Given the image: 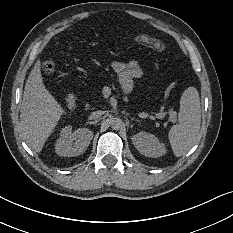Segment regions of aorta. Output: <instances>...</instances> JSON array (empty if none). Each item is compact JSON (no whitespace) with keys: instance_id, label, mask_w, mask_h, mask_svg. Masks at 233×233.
I'll use <instances>...</instances> for the list:
<instances>
[{"instance_id":"762f6f07","label":"aorta","mask_w":233,"mask_h":233,"mask_svg":"<svg viewBox=\"0 0 233 233\" xmlns=\"http://www.w3.org/2000/svg\"><path fill=\"white\" fill-rule=\"evenodd\" d=\"M111 125L112 127L117 128V126L119 125V122L116 119H113Z\"/></svg>"}]
</instances>
